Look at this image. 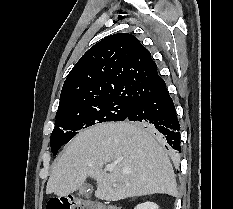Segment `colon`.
Wrapping results in <instances>:
<instances>
[{
    "mask_svg": "<svg viewBox=\"0 0 233 209\" xmlns=\"http://www.w3.org/2000/svg\"><path fill=\"white\" fill-rule=\"evenodd\" d=\"M46 209H121L102 201L87 200L81 197L54 199L48 202Z\"/></svg>",
    "mask_w": 233,
    "mask_h": 209,
    "instance_id": "obj_1",
    "label": "colon"
}]
</instances>
